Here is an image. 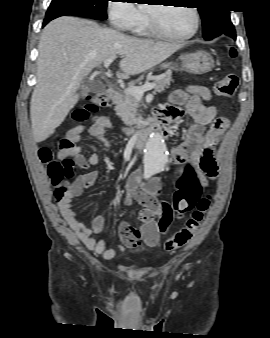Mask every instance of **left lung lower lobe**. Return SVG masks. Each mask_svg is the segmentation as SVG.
<instances>
[{"mask_svg":"<svg viewBox=\"0 0 270 338\" xmlns=\"http://www.w3.org/2000/svg\"><path fill=\"white\" fill-rule=\"evenodd\" d=\"M228 35L231 36L233 39H236L235 29L233 28L230 32H228Z\"/></svg>","mask_w":270,"mask_h":338,"instance_id":"left-lung-lower-lobe-1","label":"left lung lower lobe"}]
</instances>
